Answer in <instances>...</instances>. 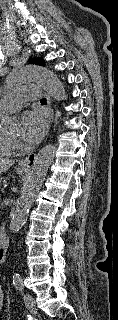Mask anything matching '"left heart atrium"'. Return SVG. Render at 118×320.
<instances>
[{
  "label": "left heart atrium",
  "mask_w": 118,
  "mask_h": 320,
  "mask_svg": "<svg viewBox=\"0 0 118 320\" xmlns=\"http://www.w3.org/2000/svg\"><path fill=\"white\" fill-rule=\"evenodd\" d=\"M47 129L46 116L43 111L33 109L22 115L20 138L26 144L34 145L41 141Z\"/></svg>",
  "instance_id": "left-heart-atrium-1"
}]
</instances>
